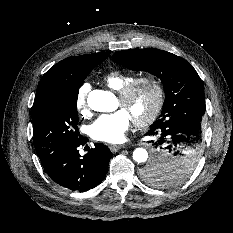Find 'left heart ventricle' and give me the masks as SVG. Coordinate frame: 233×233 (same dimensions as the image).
Wrapping results in <instances>:
<instances>
[{"mask_svg":"<svg viewBox=\"0 0 233 233\" xmlns=\"http://www.w3.org/2000/svg\"><path fill=\"white\" fill-rule=\"evenodd\" d=\"M153 102L154 91L150 85L144 84L135 90L127 103L118 100V106L125 110L132 119L143 118L150 112Z\"/></svg>","mask_w":233,"mask_h":233,"instance_id":"obj_1","label":"left heart ventricle"}]
</instances>
